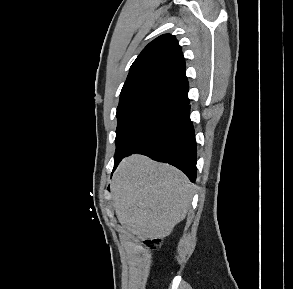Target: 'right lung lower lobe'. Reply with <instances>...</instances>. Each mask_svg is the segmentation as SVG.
I'll return each instance as SVG.
<instances>
[{"label":"right lung lower lobe","mask_w":293,"mask_h":289,"mask_svg":"<svg viewBox=\"0 0 293 289\" xmlns=\"http://www.w3.org/2000/svg\"><path fill=\"white\" fill-rule=\"evenodd\" d=\"M189 103L164 116L124 150L115 154L114 169L127 155L139 153L169 163L196 180V140Z\"/></svg>","instance_id":"98d812e1"}]
</instances>
